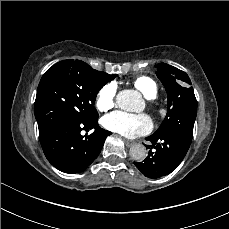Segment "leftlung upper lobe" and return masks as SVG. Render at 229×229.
I'll return each instance as SVG.
<instances>
[{"instance_id": "obj_1", "label": "left lung upper lobe", "mask_w": 229, "mask_h": 229, "mask_svg": "<svg viewBox=\"0 0 229 229\" xmlns=\"http://www.w3.org/2000/svg\"><path fill=\"white\" fill-rule=\"evenodd\" d=\"M156 75L164 85L167 96V114L154 134L193 136V126L197 114V100L188 75L166 63L155 65Z\"/></svg>"}]
</instances>
